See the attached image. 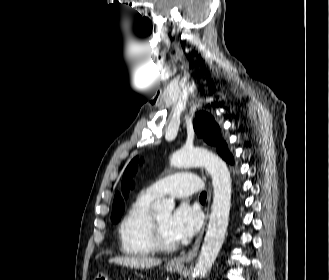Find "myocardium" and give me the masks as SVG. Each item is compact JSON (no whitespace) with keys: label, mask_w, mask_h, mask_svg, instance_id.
Returning a JSON list of instances; mask_svg holds the SVG:
<instances>
[{"label":"myocardium","mask_w":329,"mask_h":280,"mask_svg":"<svg viewBox=\"0 0 329 280\" xmlns=\"http://www.w3.org/2000/svg\"><path fill=\"white\" fill-rule=\"evenodd\" d=\"M150 235L153 245L157 250L170 251L177 247L176 242H170L164 238L155 215L151 217Z\"/></svg>","instance_id":"1"}]
</instances>
